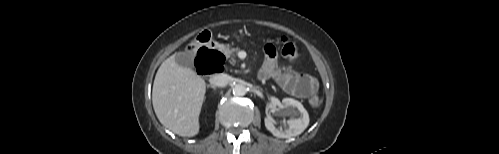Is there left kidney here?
<instances>
[{"mask_svg": "<svg viewBox=\"0 0 499 154\" xmlns=\"http://www.w3.org/2000/svg\"><path fill=\"white\" fill-rule=\"evenodd\" d=\"M282 103L286 108L292 109L293 115L297 116L300 114V117L288 120L287 124L289 128L287 129H283L281 126L276 128L273 119L271 117H266L264 120L265 127L278 138H291L301 134L309 125L310 119L308 112L303 105L295 99L284 98Z\"/></svg>", "mask_w": 499, "mask_h": 154, "instance_id": "1", "label": "left kidney"}]
</instances>
